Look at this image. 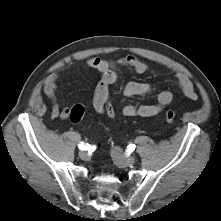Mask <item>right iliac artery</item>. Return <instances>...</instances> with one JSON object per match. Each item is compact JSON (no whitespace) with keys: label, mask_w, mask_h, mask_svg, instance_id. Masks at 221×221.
I'll use <instances>...</instances> for the list:
<instances>
[{"label":"right iliac artery","mask_w":221,"mask_h":221,"mask_svg":"<svg viewBox=\"0 0 221 221\" xmlns=\"http://www.w3.org/2000/svg\"><path fill=\"white\" fill-rule=\"evenodd\" d=\"M79 149L81 150H89L90 148H94V146H91L89 145L88 143H84V142H81L79 145H78Z\"/></svg>","instance_id":"82829eb1"}]
</instances>
